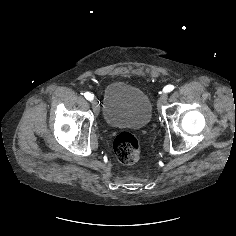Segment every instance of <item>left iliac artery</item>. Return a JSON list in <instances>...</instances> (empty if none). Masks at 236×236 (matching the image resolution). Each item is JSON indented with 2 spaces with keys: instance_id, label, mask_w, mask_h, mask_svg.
I'll return each instance as SVG.
<instances>
[{
  "instance_id": "1",
  "label": "left iliac artery",
  "mask_w": 236,
  "mask_h": 236,
  "mask_svg": "<svg viewBox=\"0 0 236 236\" xmlns=\"http://www.w3.org/2000/svg\"><path fill=\"white\" fill-rule=\"evenodd\" d=\"M173 89H174L173 85H167L164 87L163 91L167 93V92H171Z\"/></svg>"
}]
</instances>
